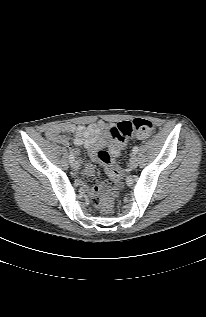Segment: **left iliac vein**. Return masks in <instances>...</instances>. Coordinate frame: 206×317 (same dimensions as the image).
I'll return each mask as SVG.
<instances>
[{"label":"left iliac vein","instance_id":"obj_1","mask_svg":"<svg viewBox=\"0 0 206 317\" xmlns=\"http://www.w3.org/2000/svg\"><path fill=\"white\" fill-rule=\"evenodd\" d=\"M138 165V158L136 155H132L129 162V168L135 169Z\"/></svg>","mask_w":206,"mask_h":317}]
</instances>
